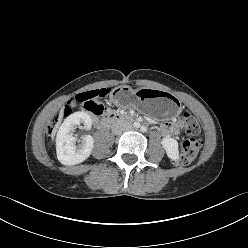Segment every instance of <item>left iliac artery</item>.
<instances>
[{"label": "left iliac artery", "instance_id": "left-iliac-artery-1", "mask_svg": "<svg viewBox=\"0 0 248 248\" xmlns=\"http://www.w3.org/2000/svg\"><path fill=\"white\" fill-rule=\"evenodd\" d=\"M142 130L144 131V130H145V128H144V127H142Z\"/></svg>", "mask_w": 248, "mask_h": 248}]
</instances>
